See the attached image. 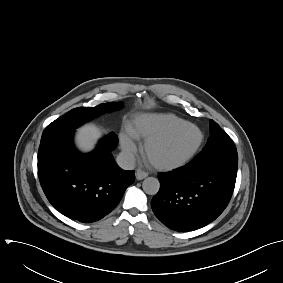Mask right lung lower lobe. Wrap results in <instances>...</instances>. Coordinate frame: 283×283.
Listing matches in <instances>:
<instances>
[{
    "mask_svg": "<svg viewBox=\"0 0 283 283\" xmlns=\"http://www.w3.org/2000/svg\"><path fill=\"white\" fill-rule=\"evenodd\" d=\"M73 133L40 143L38 176L52 206L72 220L91 223L117 206L135 176L134 171L122 170L114 161L111 150L118 143L115 133L86 155L75 149Z\"/></svg>",
    "mask_w": 283,
    "mask_h": 283,
    "instance_id": "98d812e1",
    "label": "right lung lower lobe"
}]
</instances>
